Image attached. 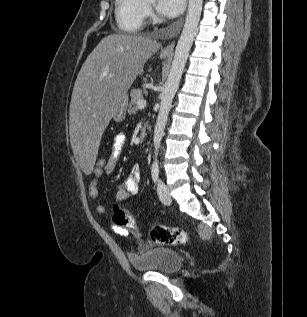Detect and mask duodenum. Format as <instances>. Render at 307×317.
Returning <instances> with one entry per match:
<instances>
[{
  "label": "duodenum",
  "instance_id": "obj_1",
  "mask_svg": "<svg viewBox=\"0 0 307 317\" xmlns=\"http://www.w3.org/2000/svg\"><path fill=\"white\" fill-rule=\"evenodd\" d=\"M146 135H147V129L146 127H143L140 131V139L144 140L146 138Z\"/></svg>",
  "mask_w": 307,
  "mask_h": 317
}]
</instances>
